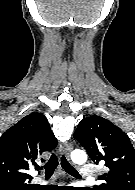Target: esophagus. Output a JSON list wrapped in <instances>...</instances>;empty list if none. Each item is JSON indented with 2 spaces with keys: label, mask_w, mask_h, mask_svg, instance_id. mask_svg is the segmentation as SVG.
I'll return each mask as SVG.
<instances>
[{
  "label": "esophagus",
  "mask_w": 135,
  "mask_h": 190,
  "mask_svg": "<svg viewBox=\"0 0 135 190\" xmlns=\"http://www.w3.org/2000/svg\"><path fill=\"white\" fill-rule=\"evenodd\" d=\"M71 150H72V144L70 142L66 143L63 148V154L67 159H69L70 157Z\"/></svg>",
  "instance_id": "34e87169"
}]
</instances>
